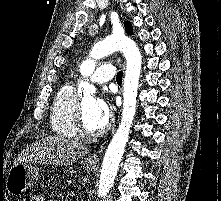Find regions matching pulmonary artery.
<instances>
[{
    "label": "pulmonary artery",
    "instance_id": "pulmonary-artery-1",
    "mask_svg": "<svg viewBox=\"0 0 221 201\" xmlns=\"http://www.w3.org/2000/svg\"><path fill=\"white\" fill-rule=\"evenodd\" d=\"M115 76V68L111 64H103L98 67L90 76V80L95 83H106L112 80Z\"/></svg>",
    "mask_w": 221,
    "mask_h": 201
}]
</instances>
